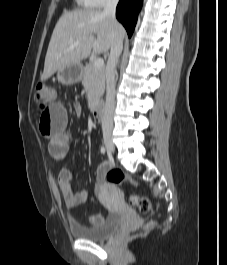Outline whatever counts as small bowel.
I'll list each match as a JSON object with an SVG mask.
<instances>
[{"label":"small bowel","instance_id":"obj_1","mask_svg":"<svg viewBox=\"0 0 227 265\" xmlns=\"http://www.w3.org/2000/svg\"><path fill=\"white\" fill-rule=\"evenodd\" d=\"M76 112L81 113V106H75ZM67 112L65 107L57 102H47L45 109H41L39 128L41 133L48 139V152L55 159H63L69 152L70 135L67 131ZM108 171V165H99L95 172V191L99 192ZM72 173L68 168L60 169L57 176V184L66 207L75 208L86 202L88 193L85 190L74 191L71 187ZM74 222V220L72 219ZM103 217L95 214L90 216L92 226L102 223Z\"/></svg>","mask_w":227,"mask_h":265}]
</instances>
